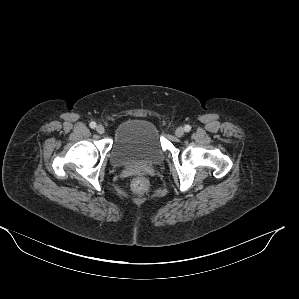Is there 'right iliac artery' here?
Here are the masks:
<instances>
[{
  "instance_id": "right-iliac-artery-1",
  "label": "right iliac artery",
  "mask_w": 299,
  "mask_h": 299,
  "mask_svg": "<svg viewBox=\"0 0 299 299\" xmlns=\"http://www.w3.org/2000/svg\"><path fill=\"white\" fill-rule=\"evenodd\" d=\"M89 126L91 127V128H95L96 127V123L95 122H91L90 124H89Z\"/></svg>"
}]
</instances>
